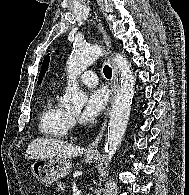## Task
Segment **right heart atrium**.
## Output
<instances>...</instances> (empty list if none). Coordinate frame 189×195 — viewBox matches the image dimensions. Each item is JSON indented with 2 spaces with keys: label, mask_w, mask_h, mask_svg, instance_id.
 Wrapping results in <instances>:
<instances>
[{
  "label": "right heart atrium",
  "mask_w": 189,
  "mask_h": 195,
  "mask_svg": "<svg viewBox=\"0 0 189 195\" xmlns=\"http://www.w3.org/2000/svg\"><path fill=\"white\" fill-rule=\"evenodd\" d=\"M71 124H74V119L71 118Z\"/></svg>",
  "instance_id": "1"
}]
</instances>
